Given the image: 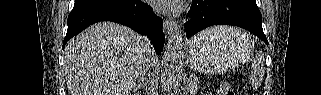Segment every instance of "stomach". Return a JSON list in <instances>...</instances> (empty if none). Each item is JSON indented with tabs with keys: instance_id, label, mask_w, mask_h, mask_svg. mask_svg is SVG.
Returning a JSON list of instances; mask_svg holds the SVG:
<instances>
[{
	"instance_id": "1",
	"label": "stomach",
	"mask_w": 321,
	"mask_h": 95,
	"mask_svg": "<svg viewBox=\"0 0 321 95\" xmlns=\"http://www.w3.org/2000/svg\"><path fill=\"white\" fill-rule=\"evenodd\" d=\"M253 50L251 38L236 29L219 36L200 33L189 43L186 62L197 72L222 73L247 61Z\"/></svg>"
}]
</instances>
